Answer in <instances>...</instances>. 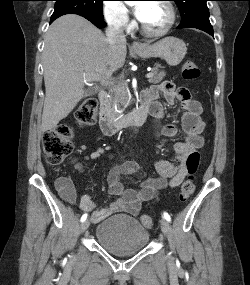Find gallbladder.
Instances as JSON below:
<instances>
[{"instance_id":"obj_1","label":"gallbladder","mask_w":250,"mask_h":285,"mask_svg":"<svg viewBox=\"0 0 250 285\" xmlns=\"http://www.w3.org/2000/svg\"><path fill=\"white\" fill-rule=\"evenodd\" d=\"M89 93L92 94L93 92H92V91H89Z\"/></svg>"}]
</instances>
